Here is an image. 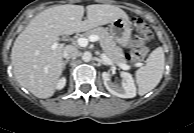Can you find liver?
Wrapping results in <instances>:
<instances>
[{
	"label": "liver",
	"mask_w": 194,
	"mask_h": 133,
	"mask_svg": "<svg viewBox=\"0 0 194 133\" xmlns=\"http://www.w3.org/2000/svg\"><path fill=\"white\" fill-rule=\"evenodd\" d=\"M82 21L81 5H58L36 15L18 35L11 50V63L17 82L38 98H49L63 71V51L59 36L71 35L106 25L127 14L117 6L88 5ZM57 47L52 49V45Z\"/></svg>",
	"instance_id": "1"
}]
</instances>
